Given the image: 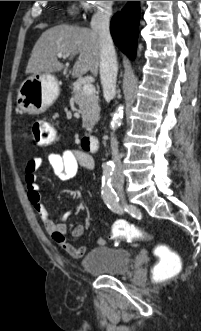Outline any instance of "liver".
I'll return each instance as SVG.
<instances>
[{
	"label": "liver",
	"instance_id": "6515ba94",
	"mask_svg": "<svg viewBox=\"0 0 201 331\" xmlns=\"http://www.w3.org/2000/svg\"><path fill=\"white\" fill-rule=\"evenodd\" d=\"M58 53L79 57L73 67L72 76L81 78L90 71L98 74L100 65V43L98 35L89 28L62 24L42 33L36 42L26 67V74H50L64 68L58 60Z\"/></svg>",
	"mask_w": 201,
	"mask_h": 331
}]
</instances>
